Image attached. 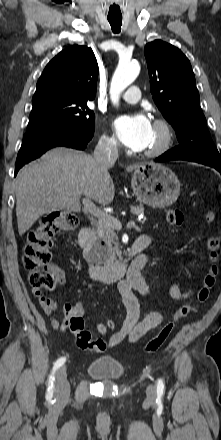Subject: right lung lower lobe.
<instances>
[{"mask_svg":"<svg viewBox=\"0 0 221 440\" xmlns=\"http://www.w3.org/2000/svg\"><path fill=\"white\" fill-rule=\"evenodd\" d=\"M92 137L53 129L27 132L16 159L15 175L25 164L40 157L53 147L65 146L83 150Z\"/></svg>","mask_w":221,"mask_h":440,"instance_id":"98d812e1","label":"right lung lower lobe"}]
</instances>
